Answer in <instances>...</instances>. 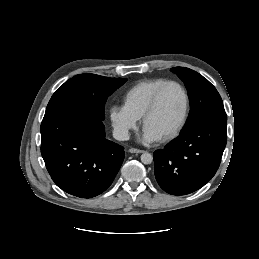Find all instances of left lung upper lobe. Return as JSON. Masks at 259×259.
<instances>
[{
    "instance_id": "1",
    "label": "left lung upper lobe",
    "mask_w": 259,
    "mask_h": 259,
    "mask_svg": "<svg viewBox=\"0 0 259 259\" xmlns=\"http://www.w3.org/2000/svg\"><path fill=\"white\" fill-rule=\"evenodd\" d=\"M184 82L190 100V113L181 132L208 119H224L227 116L216 88L202 75L185 67L171 69Z\"/></svg>"
}]
</instances>
